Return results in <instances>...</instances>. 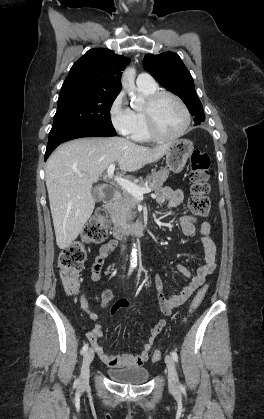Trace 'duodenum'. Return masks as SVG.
I'll return each instance as SVG.
<instances>
[{"label": "duodenum", "mask_w": 264, "mask_h": 419, "mask_svg": "<svg viewBox=\"0 0 264 419\" xmlns=\"http://www.w3.org/2000/svg\"><path fill=\"white\" fill-rule=\"evenodd\" d=\"M118 198V192H111L104 200L103 208L110 211ZM146 232V225L143 221H137L131 224L123 223L113 219L112 235L119 240L130 236H142Z\"/></svg>", "instance_id": "410a0bca"}]
</instances>
